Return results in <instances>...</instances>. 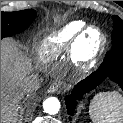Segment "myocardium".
I'll return each instance as SVG.
<instances>
[{
	"label": "myocardium",
	"mask_w": 123,
	"mask_h": 123,
	"mask_svg": "<svg viewBox=\"0 0 123 123\" xmlns=\"http://www.w3.org/2000/svg\"><path fill=\"white\" fill-rule=\"evenodd\" d=\"M90 30H95L99 37L100 41L97 47L90 53H86L85 49H80V43L82 42L83 39H85L86 34ZM107 44V37L105 33L97 26H88L85 28L81 34L78 36L76 40V62L77 66L81 71H87L91 69L97 62L99 56L102 54L104 51L105 47Z\"/></svg>",
	"instance_id": "f54148a6"
}]
</instances>
